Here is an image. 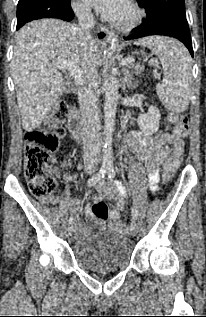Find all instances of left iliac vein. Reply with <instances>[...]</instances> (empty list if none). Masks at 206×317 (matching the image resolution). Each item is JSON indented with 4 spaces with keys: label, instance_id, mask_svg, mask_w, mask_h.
Masks as SVG:
<instances>
[{
    "label": "left iliac vein",
    "instance_id": "obj_1",
    "mask_svg": "<svg viewBox=\"0 0 206 317\" xmlns=\"http://www.w3.org/2000/svg\"><path fill=\"white\" fill-rule=\"evenodd\" d=\"M138 232V223L136 222V220H133L131 222V226H130V233L135 236Z\"/></svg>",
    "mask_w": 206,
    "mask_h": 317
}]
</instances>
